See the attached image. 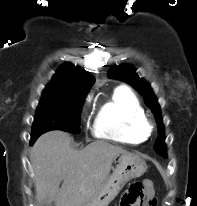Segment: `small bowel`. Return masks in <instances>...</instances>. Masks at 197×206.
<instances>
[{"mask_svg":"<svg viewBox=\"0 0 197 206\" xmlns=\"http://www.w3.org/2000/svg\"><path fill=\"white\" fill-rule=\"evenodd\" d=\"M146 185H147V187L148 188H150L151 189V185H150V183H149V181H147L146 182ZM151 192H152V189H151ZM126 194V193H125ZM125 196V195H124ZM124 198V197H123ZM133 206H149V205H144V204H135V205H133Z\"/></svg>","mask_w":197,"mask_h":206,"instance_id":"1","label":"small bowel"}]
</instances>
